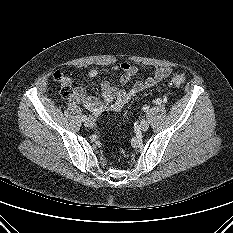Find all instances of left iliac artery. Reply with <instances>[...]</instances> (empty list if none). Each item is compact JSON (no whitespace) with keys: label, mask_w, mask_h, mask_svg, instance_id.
<instances>
[{"label":"left iliac artery","mask_w":233,"mask_h":233,"mask_svg":"<svg viewBox=\"0 0 233 233\" xmlns=\"http://www.w3.org/2000/svg\"><path fill=\"white\" fill-rule=\"evenodd\" d=\"M166 99H164V101H165ZM148 109H149V107L148 106H144L143 107V110L145 111V112H147L148 111Z\"/></svg>","instance_id":"44dca946"}]
</instances>
